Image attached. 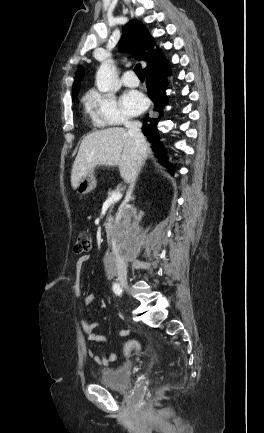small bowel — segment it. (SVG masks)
I'll return each instance as SVG.
<instances>
[{
	"instance_id": "obj_1",
	"label": "small bowel",
	"mask_w": 264,
	"mask_h": 433,
	"mask_svg": "<svg viewBox=\"0 0 264 433\" xmlns=\"http://www.w3.org/2000/svg\"><path fill=\"white\" fill-rule=\"evenodd\" d=\"M88 260H89V256L83 255V256H80L76 261L77 278H76V282H75V292H76V295L79 297L81 304L83 306H87L94 301V295L92 293H84V292H82V290L80 288V275H81V272H82V269H83L85 263ZM81 327H82L83 331L87 334L88 340L90 342H93V343H104L105 342V337L96 332L97 327H98V324L96 322H87V321L82 320L81 321ZM128 333L129 332L127 330H121L120 331L121 335H128ZM88 355L95 363H97L101 366H107L116 360L115 354H111L108 357L102 358V357L98 356L97 353L93 349L88 350Z\"/></svg>"
}]
</instances>
